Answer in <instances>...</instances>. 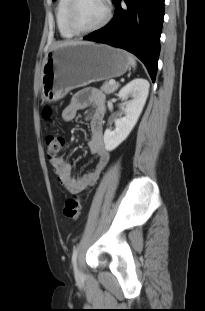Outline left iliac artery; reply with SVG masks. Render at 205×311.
Here are the masks:
<instances>
[{"label": "left iliac artery", "mask_w": 205, "mask_h": 311, "mask_svg": "<svg viewBox=\"0 0 205 311\" xmlns=\"http://www.w3.org/2000/svg\"><path fill=\"white\" fill-rule=\"evenodd\" d=\"M77 255H78V247L74 249L72 254V263L74 267L76 266Z\"/></svg>", "instance_id": "44dca946"}]
</instances>
